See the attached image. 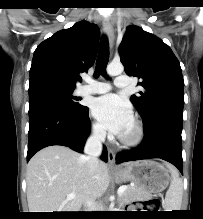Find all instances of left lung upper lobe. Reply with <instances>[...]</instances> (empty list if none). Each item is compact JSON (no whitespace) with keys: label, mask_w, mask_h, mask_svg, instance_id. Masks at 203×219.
Here are the masks:
<instances>
[{"label":"left lung upper lobe","mask_w":203,"mask_h":219,"mask_svg":"<svg viewBox=\"0 0 203 219\" xmlns=\"http://www.w3.org/2000/svg\"><path fill=\"white\" fill-rule=\"evenodd\" d=\"M119 53L127 75L140 78L145 89L130 98L144 122L160 111L183 110L184 80L168 45L138 26H128Z\"/></svg>","instance_id":"left-lung-upper-lobe-1"}]
</instances>
